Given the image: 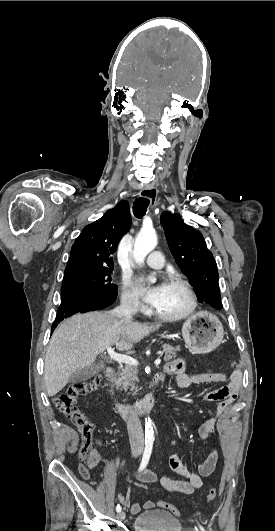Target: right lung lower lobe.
<instances>
[{
	"mask_svg": "<svg viewBox=\"0 0 275 531\" xmlns=\"http://www.w3.org/2000/svg\"><path fill=\"white\" fill-rule=\"evenodd\" d=\"M111 303L101 302L96 299L90 298L85 294L69 293L61 296V304L58 308L55 321L52 325L51 331L53 332L57 325L65 318L72 316L76 313H85L88 311L101 310Z\"/></svg>",
	"mask_w": 275,
	"mask_h": 531,
	"instance_id": "right-lung-lower-lobe-1",
	"label": "right lung lower lobe"
}]
</instances>
